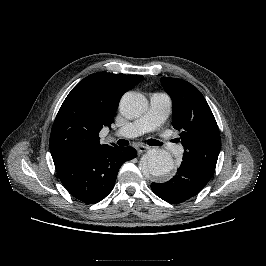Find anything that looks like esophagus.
Listing matches in <instances>:
<instances>
[{"label": "esophagus", "mask_w": 266, "mask_h": 266, "mask_svg": "<svg viewBox=\"0 0 266 266\" xmlns=\"http://www.w3.org/2000/svg\"><path fill=\"white\" fill-rule=\"evenodd\" d=\"M136 149H137V152H138V153H144V152L147 151L148 147H146V146H144V145H138V146L136 147Z\"/></svg>", "instance_id": "1"}]
</instances>
